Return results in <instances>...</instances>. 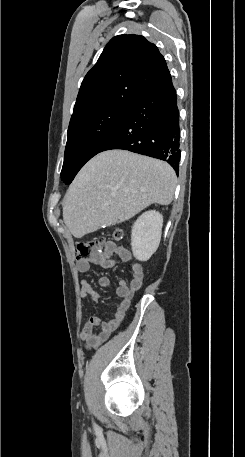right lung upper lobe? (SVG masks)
I'll return each mask as SVG.
<instances>
[{"instance_id": "right-lung-upper-lobe-1", "label": "right lung upper lobe", "mask_w": 245, "mask_h": 457, "mask_svg": "<svg viewBox=\"0 0 245 457\" xmlns=\"http://www.w3.org/2000/svg\"><path fill=\"white\" fill-rule=\"evenodd\" d=\"M170 77L154 44L139 35L115 36L85 76L72 117L116 101L133 104L144 91Z\"/></svg>"}]
</instances>
